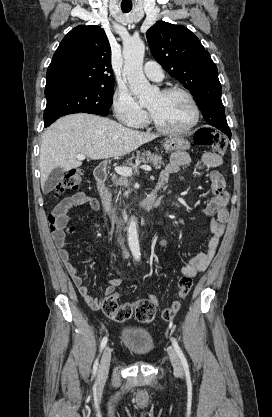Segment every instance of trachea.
<instances>
[{"mask_svg":"<svg viewBox=\"0 0 272 417\" xmlns=\"http://www.w3.org/2000/svg\"><path fill=\"white\" fill-rule=\"evenodd\" d=\"M121 8H122V11H123L124 13H128V12H130V10L132 9V7H124V6H122Z\"/></svg>","mask_w":272,"mask_h":417,"instance_id":"1","label":"trachea"}]
</instances>
